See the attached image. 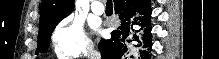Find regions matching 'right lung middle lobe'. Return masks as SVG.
I'll return each mask as SVG.
<instances>
[{"mask_svg": "<svg viewBox=\"0 0 219 59\" xmlns=\"http://www.w3.org/2000/svg\"><path fill=\"white\" fill-rule=\"evenodd\" d=\"M59 21L51 23L44 28H39L38 33V46L35 54L43 53L47 50L51 38V33L53 32Z\"/></svg>", "mask_w": 219, "mask_h": 59, "instance_id": "1", "label": "right lung middle lobe"}]
</instances>
